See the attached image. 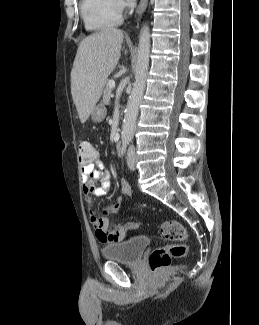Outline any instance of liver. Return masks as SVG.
<instances>
[{
  "instance_id": "liver-1",
  "label": "liver",
  "mask_w": 259,
  "mask_h": 325,
  "mask_svg": "<svg viewBox=\"0 0 259 325\" xmlns=\"http://www.w3.org/2000/svg\"><path fill=\"white\" fill-rule=\"evenodd\" d=\"M123 38V31L110 28L91 34L78 47L71 70V94L81 123L89 118L119 61Z\"/></svg>"
}]
</instances>
